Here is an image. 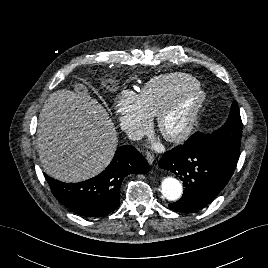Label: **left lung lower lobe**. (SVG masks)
<instances>
[{
  "label": "left lung lower lobe",
  "mask_w": 268,
  "mask_h": 268,
  "mask_svg": "<svg viewBox=\"0 0 268 268\" xmlns=\"http://www.w3.org/2000/svg\"><path fill=\"white\" fill-rule=\"evenodd\" d=\"M189 138L163 154L159 167L178 176L185 187L183 196L169 208L192 213L208 205L231 178L238 158L226 153L191 146Z\"/></svg>",
  "instance_id": "left-lung-lower-lobe-1"
}]
</instances>
